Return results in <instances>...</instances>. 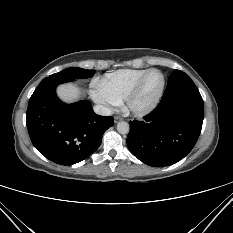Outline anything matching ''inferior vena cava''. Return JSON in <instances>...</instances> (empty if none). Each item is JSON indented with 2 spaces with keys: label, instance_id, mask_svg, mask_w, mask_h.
I'll return each instance as SVG.
<instances>
[{
  "label": "inferior vena cava",
  "instance_id": "inferior-vena-cava-1",
  "mask_svg": "<svg viewBox=\"0 0 233 233\" xmlns=\"http://www.w3.org/2000/svg\"><path fill=\"white\" fill-rule=\"evenodd\" d=\"M93 109H94V112L98 115L110 116L112 114V111L110 110V108L102 106V105H95Z\"/></svg>",
  "mask_w": 233,
  "mask_h": 233
}]
</instances>
